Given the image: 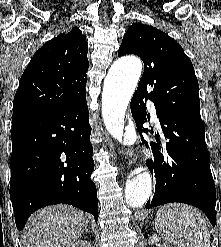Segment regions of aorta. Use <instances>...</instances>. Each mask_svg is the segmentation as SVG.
I'll list each match as a JSON object with an SVG mask.
<instances>
[{
    "instance_id": "aorta-1",
    "label": "aorta",
    "mask_w": 221,
    "mask_h": 247,
    "mask_svg": "<svg viewBox=\"0 0 221 247\" xmlns=\"http://www.w3.org/2000/svg\"><path fill=\"white\" fill-rule=\"evenodd\" d=\"M142 72V63L136 57L118 59L110 67L104 80L102 114L107 130L122 141L124 116ZM152 190L149 172L137 174L126 181L125 199L132 208L142 207Z\"/></svg>"
}]
</instances>
